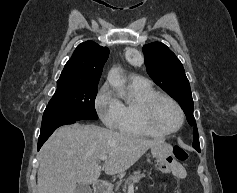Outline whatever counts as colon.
Listing matches in <instances>:
<instances>
[{"instance_id": "1", "label": "colon", "mask_w": 237, "mask_h": 193, "mask_svg": "<svg viewBox=\"0 0 237 193\" xmlns=\"http://www.w3.org/2000/svg\"><path fill=\"white\" fill-rule=\"evenodd\" d=\"M188 157L189 153L186 149L181 146H175L172 155L161 161L158 164V168L162 172L172 171L175 164L186 161Z\"/></svg>"}]
</instances>
